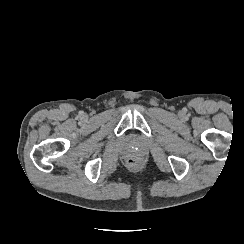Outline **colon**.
I'll return each mask as SVG.
<instances>
[{"instance_id":"1","label":"colon","mask_w":244,"mask_h":244,"mask_svg":"<svg viewBox=\"0 0 244 244\" xmlns=\"http://www.w3.org/2000/svg\"><path fill=\"white\" fill-rule=\"evenodd\" d=\"M128 165H129V167H131V168H136V167H138V165H139V160H138V158H136V157H131V158H129V160H128Z\"/></svg>"}]
</instances>
